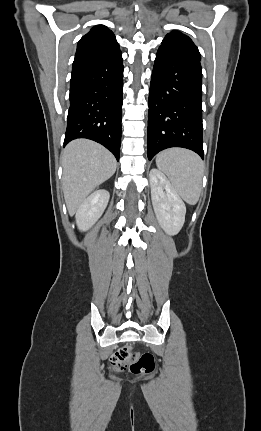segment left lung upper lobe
Returning <instances> with one entry per match:
<instances>
[{"label":"left lung upper lobe","mask_w":261,"mask_h":431,"mask_svg":"<svg viewBox=\"0 0 261 431\" xmlns=\"http://www.w3.org/2000/svg\"><path fill=\"white\" fill-rule=\"evenodd\" d=\"M161 46L188 54L197 58L198 60L201 59L198 48L195 46L192 40L179 31H172L171 33L167 34L162 41Z\"/></svg>","instance_id":"1"}]
</instances>
